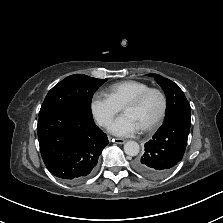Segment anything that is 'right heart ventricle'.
Listing matches in <instances>:
<instances>
[{"mask_svg": "<svg viewBox=\"0 0 223 223\" xmlns=\"http://www.w3.org/2000/svg\"><path fill=\"white\" fill-rule=\"evenodd\" d=\"M148 88H150V86L145 82L125 80L109 86L107 89V95L120 108H123L131 99Z\"/></svg>", "mask_w": 223, "mask_h": 223, "instance_id": "obj_1", "label": "right heart ventricle"}]
</instances>
